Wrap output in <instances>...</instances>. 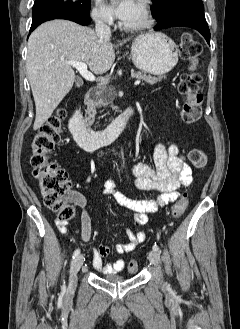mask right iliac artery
Masks as SVG:
<instances>
[{
    "label": "right iliac artery",
    "instance_id": "1",
    "mask_svg": "<svg viewBox=\"0 0 240 329\" xmlns=\"http://www.w3.org/2000/svg\"><path fill=\"white\" fill-rule=\"evenodd\" d=\"M80 254V250L79 249H76L73 253V256L72 258L75 259L78 255Z\"/></svg>",
    "mask_w": 240,
    "mask_h": 329
}]
</instances>
